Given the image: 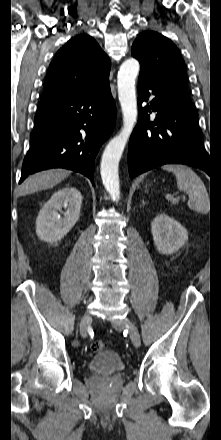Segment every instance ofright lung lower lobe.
Wrapping results in <instances>:
<instances>
[{
    "label": "right lung lower lobe",
    "mask_w": 221,
    "mask_h": 440,
    "mask_svg": "<svg viewBox=\"0 0 221 440\" xmlns=\"http://www.w3.org/2000/svg\"><path fill=\"white\" fill-rule=\"evenodd\" d=\"M115 120L110 86L96 93L41 100L19 183L41 170L66 168L82 173L94 185V159Z\"/></svg>",
    "instance_id": "right-lung-lower-lobe-1"
}]
</instances>
